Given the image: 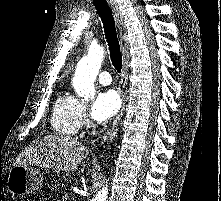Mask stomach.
I'll return each instance as SVG.
<instances>
[{"label": "stomach", "instance_id": "stomach-1", "mask_svg": "<svg viewBox=\"0 0 221 201\" xmlns=\"http://www.w3.org/2000/svg\"><path fill=\"white\" fill-rule=\"evenodd\" d=\"M43 175L39 169L31 165H15L8 174L7 189L13 195H26L41 186Z\"/></svg>", "mask_w": 221, "mask_h": 201}]
</instances>
